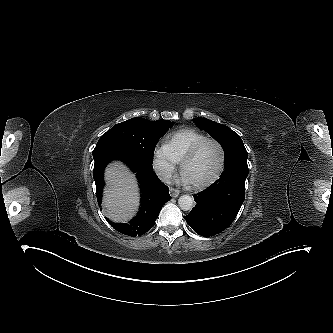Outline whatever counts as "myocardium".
Wrapping results in <instances>:
<instances>
[{
    "label": "myocardium",
    "instance_id": "obj_1",
    "mask_svg": "<svg viewBox=\"0 0 333 333\" xmlns=\"http://www.w3.org/2000/svg\"><path fill=\"white\" fill-rule=\"evenodd\" d=\"M207 142H213L217 145L220 152L219 165L216 172L209 179L199 183H191L192 187L195 189H203L212 185L214 182H216L219 179L224 170L225 160H226L225 150L221 142L214 137H206L197 142L195 145H193L181 160V170L184 171L186 164L197 155L201 147Z\"/></svg>",
    "mask_w": 333,
    "mask_h": 333
}]
</instances>
